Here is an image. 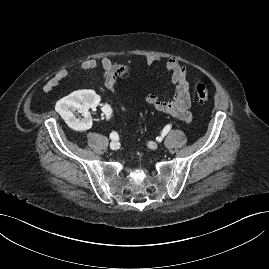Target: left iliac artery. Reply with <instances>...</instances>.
<instances>
[{
  "instance_id": "obj_1",
  "label": "left iliac artery",
  "mask_w": 269,
  "mask_h": 269,
  "mask_svg": "<svg viewBox=\"0 0 269 269\" xmlns=\"http://www.w3.org/2000/svg\"><path fill=\"white\" fill-rule=\"evenodd\" d=\"M172 125L171 124H168L164 127V129L162 130V133L161 135L164 137L171 129ZM157 140L160 141V138L157 137Z\"/></svg>"
}]
</instances>
